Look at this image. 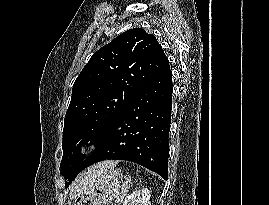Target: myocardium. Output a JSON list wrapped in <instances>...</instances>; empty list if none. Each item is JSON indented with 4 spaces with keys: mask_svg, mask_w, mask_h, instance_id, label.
Wrapping results in <instances>:
<instances>
[{
    "mask_svg": "<svg viewBox=\"0 0 269 205\" xmlns=\"http://www.w3.org/2000/svg\"><path fill=\"white\" fill-rule=\"evenodd\" d=\"M88 146V143L82 144V148H86Z\"/></svg>",
    "mask_w": 269,
    "mask_h": 205,
    "instance_id": "obj_1",
    "label": "myocardium"
}]
</instances>
